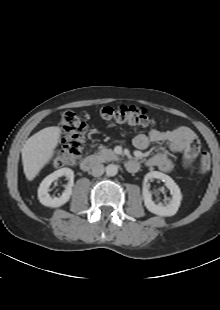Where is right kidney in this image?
Listing matches in <instances>:
<instances>
[{
    "label": "right kidney",
    "instance_id": "1",
    "mask_svg": "<svg viewBox=\"0 0 220 310\" xmlns=\"http://www.w3.org/2000/svg\"><path fill=\"white\" fill-rule=\"evenodd\" d=\"M61 176H66L69 180L66 189L60 197H51L48 193L51 183ZM74 185V172L70 168H61L48 175L41 182L38 188V199L41 204L47 207L57 208L69 201L72 195V187Z\"/></svg>",
    "mask_w": 220,
    "mask_h": 310
}]
</instances>
